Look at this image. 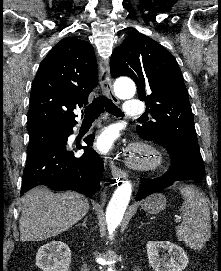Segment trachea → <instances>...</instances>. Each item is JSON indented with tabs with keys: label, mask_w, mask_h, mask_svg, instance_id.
Returning a JSON list of instances; mask_svg holds the SVG:
<instances>
[{
	"label": "trachea",
	"mask_w": 221,
	"mask_h": 271,
	"mask_svg": "<svg viewBox=\"0 0 221 271\" xmlns=\"http://www.w3.org/2000/svg\"><path fill=\"white\" fill-rule=\"evenodd\" d=\"M104 110L111 113V115L124 117V113L120 110V108H118V106L114 105L113 101H111L105 95H99V97H97L85 108L83 121L96 120Z\"/></svg>",
	"instance_id": "3493384b"
}]
</instances>
